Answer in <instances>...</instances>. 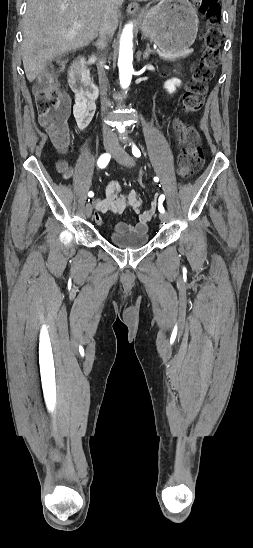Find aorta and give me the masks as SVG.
Here are the masks:
<instances>
[{
  "mask_svg": "<svg viewBox=\"0 0 253 548\" xmlns=\"http://www.w3.org/2000/svg\"><path fill=\"white\" fill-rule=\"evenodd\" d=\"M133 25L130 23L125 26L123 29L121 39H120V48H119V57H118V66H119V79L122 88H127L132 79L133 74Z\"/></svg>",
  "mask_w": 253,
  "mask_h": 548,
  "instance_id": "aorta-1",
  "label": "aorta"
}]
</instances>
